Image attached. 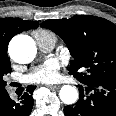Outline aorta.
<instances>
[{
	"instance_id": "obj_1",
	"label": "aorta",
	"mask_w": 116,
	"mask_h": 116,
	"mask_svg": "<svg viewBox=\"0 0 116 116\" xmlns=\"http://www.w3.org/2000/svg\"><path fill=\"white\" fill-rule=\"evenodd\" d=\"M37 48L33 39L26 35L14 37L9 44V54L11 58L21 64H27L34 60ZM60 99L67 105L74 104L78 99V91L70 85L62 86Z\"/></svg>"
}]
</instances>
